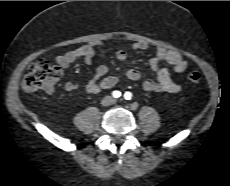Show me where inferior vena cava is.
Listing matches in <instances>:
<instances>
[{"instance_id":"602c4592","label":"inferior vena cava","mask_w":230,"mask_h":186,"mask_svg":"<svg viewBox=\"0 0 230 186\" xmlns=\"http://www.w3.org/2000/svg\"><path fill=\"white\" fill-rule=\"evenodd\" d=\"M106 100H104L103 105H110L114 101V99L112 97H107Z\"/></svg>"}]
</instances>
